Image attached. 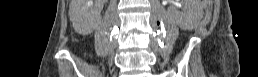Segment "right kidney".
<instances>
[{
	"label": "right kidney",
	"instance_id": "obj_1",
	"mask_svg": "<svg viewBox=\"0 0 258 77\" xmlns=\"http://www.w3.org/2000/svg\"><path fill=\"white\" fill-rule=\"evenodd\" d=\"M87 1H88V4H89V2H91V4H89V5H92V2H93L92 0H87ZM98 1H100V0H98ZM102 2H105V0H102ZM99 12H100V9H98L96 11L95 20L91 21V23H89V24H81L79 22H73L75 30L83 35H87V34L91 33L99 21Z\"/></svg>",
	"mask_w": 258,
	"mask_h": 77
}]
</instances>
